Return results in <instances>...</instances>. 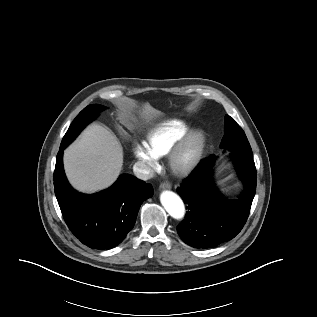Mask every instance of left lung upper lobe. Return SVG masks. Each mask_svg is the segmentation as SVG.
Segmentation results:
<instances>
[{"label":"left lung upper lobe","mask_w":317,"mask_h":317,"mask_svg":"<svg viewBox=\"0 0 317 317\" xmlns=\"http://www.w3.org/2000/svg\"><path fill=\"white\" fill-rule=\"evenodd\" d=\"M220 147L246 155H253L244 131L229 115L225 116V135Z\"/></svg>","instance_id":"left-lung-upper-lobe-1"}]
</instances>
